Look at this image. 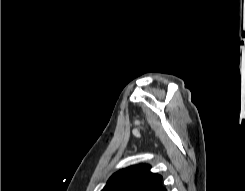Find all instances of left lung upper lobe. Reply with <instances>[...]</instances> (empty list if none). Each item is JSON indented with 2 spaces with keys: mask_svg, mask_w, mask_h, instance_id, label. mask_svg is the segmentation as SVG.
<instances>
[{
  "mask_svg": "<svg viewBox=\"0 0 245 191\" xmlns=\"http://www.w3.org/2000/svg\"><path fill=\"white\" fill-rule=\"evenodd\" d=\"M148 164H137L114 173L102 191H161L163 178L150 171Z\"/></svg>",
  "mask_w": 245,
  "mask_h": 191,
  "instance_id": "obj_1",
  "label": "left lung upper lobe"
}]
</instances>
